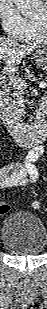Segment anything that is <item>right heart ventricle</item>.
<instances>
[{"mask_svg":"<svg viewBox=\"0 0 47 309\" xmlns=\"http://www.w3.org/2000/svg\"><path fill=\"white\" fill-rule=\"evenodd\" d=\"M44 37H42L37 28L34 25L33 21H29V32L26 38L23 40L28 43H39L43 40Z\"/></svg>","mask_w":47,"mask_h":309,"instance_id":"obj_1","label":"right heart ventricle"}]
</instances>
